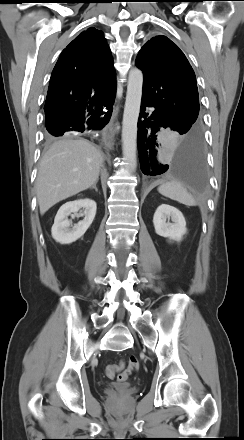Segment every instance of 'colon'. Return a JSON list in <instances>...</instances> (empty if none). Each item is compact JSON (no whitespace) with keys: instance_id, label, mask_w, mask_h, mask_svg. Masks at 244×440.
Returning <instances> with one entry per match:
<instances>
[{"instance_id":"obj_1","label":"colon","mask_w":244,"mask_h":440,"mask_svg":"<svg viewBox=\"0 0 244 440\" xmlns=\"http://www.w3.org/2000/svg\"><path fill=\"white\" fill-rule=\"evenodd\" d=\"M124 364H118V365H108L105 368V374L108 378L112 379L116 376V373L119 372L123 368ZM139 368V360L136 356H131L128 361V367L119 373L117 376V380L119 382H124L128 379L130 373L132 370Z\"/></svg>"}]
</instances>
